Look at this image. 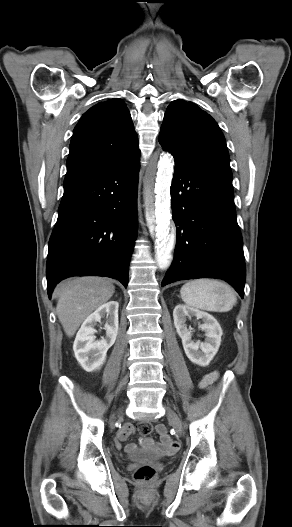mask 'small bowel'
Listing matches in <instances>:
<instances>
[{
    "instance_id": "small-bowel-1",
    "label": "small bowel",
    "mask_w": 292,
    "mask_h": 527,
    "mask_svg": "<svg viewBox=\"0 0 292 527\" xmlns=\"http://www.w3.org/2000/svg\"><path fill=\"white\" fill-rule=\"evenodd\" d=\"M216 373L207 374L200 382L202 388H207L210 386L216 379ZM156 432L159 435L160 440L155 442L153 439L144 436L140 439V445L146 449H157L161 452L172 453L177 450L178 444L176 441L172 440L168 435V428L165 421H158L156 424ZM135 427L133 425H125L118 433L117 438L114 442V447L117 450L122 448V442H124L133 432ZM152 431V430H151ZM149 434V433H148ZM147 435V434H143ZM136 446L134 444H129L127 446L128 451H134Z\"/></svg>"
}]
</instances>
